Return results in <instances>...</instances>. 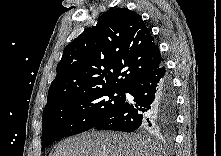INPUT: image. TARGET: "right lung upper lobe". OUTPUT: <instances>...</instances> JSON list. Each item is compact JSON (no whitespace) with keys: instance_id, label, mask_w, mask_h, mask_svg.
<instances>
[{"instance_id":"right-lung-upper-lobe-1","label":"right lung upper lobe","mask_w":221,"mask_h":156,"mask_svg":"<svg viewBox=\"0 0 221 156\" xmlns=\"http://www.w3.org/2000/svg\"><path fill=\"white\" fill-rule=\"evenodd\" d=\"M162 64L160 51L141 16L127 8L112 9L64 49L45 108L74 93L126 90Z\"/></svg>"}]
</instances>
